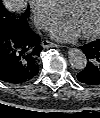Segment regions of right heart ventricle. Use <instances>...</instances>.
Instances as JSON below:
<instances>
[{"mask_svg": "<svg viewBox=\"0 0 100 118\" xmlns=\"http://www.w3.org/2000/svg\"><path fill=\"white\" fill-rule=\"evenodd\" d=\"M73 0H54L56 5L61 9L65 10V8L68 6L69 3H71Z\"/></svg>", "mask_w": 100, "mask_h": 118, "instance_id": "1", "label": "right heart ventricle"}]
</instances>
